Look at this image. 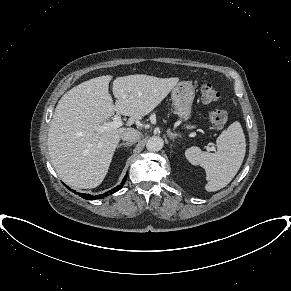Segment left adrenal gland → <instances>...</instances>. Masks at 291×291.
Segmentation results:
<instances>
[{
    "mask_svg": "<svg viewBox=\"0 0 291 291\" xmlns=\"http://www.w3.org/2000/svg\"><path fill=\"white\" fill-rule=\"evenodd\" d=\"M167 135H168V137L170 138V140H174L175 138L180 137L179 134H177V133H173V132H171L170 130L167 131Z\"/></svg>",
    "mask_w": 291,
    "mask_h": 291,
    "instance_id": "left-adrenal-gland-1",
    "label": "left adrenal gland"
}]
</instances>
